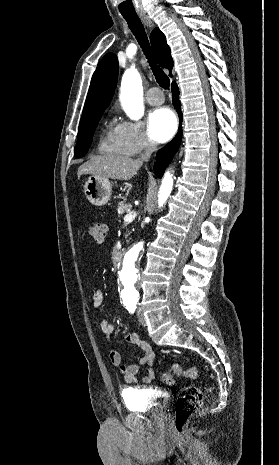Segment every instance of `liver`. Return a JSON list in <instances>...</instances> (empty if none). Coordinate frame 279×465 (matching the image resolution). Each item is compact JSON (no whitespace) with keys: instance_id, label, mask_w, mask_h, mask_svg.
<instances>
[{"instance_id":"obj_1","label":"liver","mask_w":279,"mask_h":465,"mask_svg":"<svg viewBox=\"0 0 279 465\" xmlns=\"http://www.w3.org/2000/svg\"><path fill=\"white\" fill-rule=\"evenodd\" d=\"M142 166L138 159L121 155H97L91 157L78 168V178L90 174L101 178L114 180H130Z\"/></svg>"}]
</instances>
